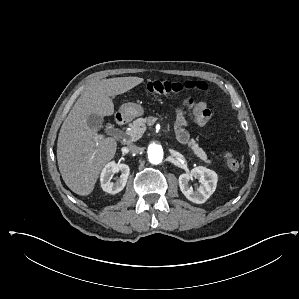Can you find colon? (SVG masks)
Returning a JSON list of instances; mask_svg holds the SVG:
<instances>
[{"mask_svg": "<svg viewBox=\"0 0 299 299\" xmlns=\"http://www.w3.org/2000/svg\"><path fill=\"white\" fill-rule=\"evenodd\" d=\"M208 86L202 81L187 80L184 82H172L166 80H153L146 84V91L153 95H169L178 94L183 91L199 90L207 91ZM227 166L232 170L240 168V161L233 155L232 152L226 151L224 154Z\"/></svg>", "mask_w": 299, "mask_h": 299, "instance_id": "obj_1", "label": "colon"}]
</instances>
